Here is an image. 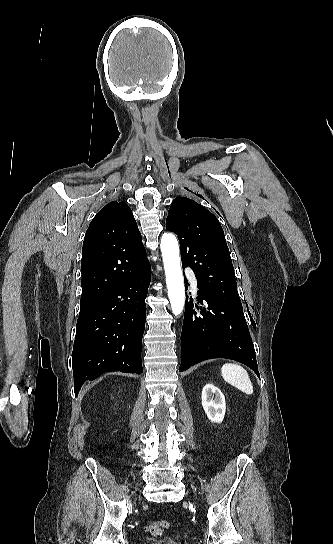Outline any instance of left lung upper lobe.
Here are the masks:
<instances>
[{"label":"left lung upper lobe","instance_id":"1","mask_svg":"<svg viewBox=\"0 0 333 544\" xmlns=\"http://www.w3.org/2000/svg\"><path fill=\"white\" fill-rule=\"evenodd\" d=\"M166 229L178 235L183 267L214 296L243 312L224 231L214 214L186 197L171 204Z\"/></svg>","mask_w":333,"mask_h":544}]
</instances>
